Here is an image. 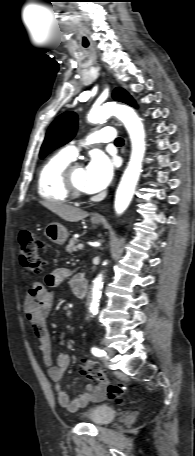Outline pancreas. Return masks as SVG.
Here are the masks:
<instances>
[{"instance_id":"cf45deb5","label":"pancreas","mask_w":195,"mask_h":456,"mask_svg":"<svg viewBox=\"0 0 195 456\" xmlns=\"http://www.w3.org/2000/svg\"><path fill=\"white\" fill-rule=\"evenodd\" d=\"M77 243H78L77 239H75V238L70 239L68 245L66 246V251L70 254L77 251V247H76Z\"/></svg>"}]
</instances>
